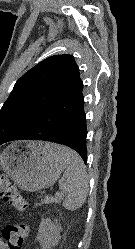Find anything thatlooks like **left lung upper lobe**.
I'll list each match as a JSON object with an SVG mask.
<instances>
[{
  "label": "left lung upper lobe",
  "mask_w": 135,
  "mask_h": 249,
  "mask_svg": "<svg viewBox=\"0 0 135 249\" xmlns=\"http://www.w3.org/2000/svg\"><path fill=\"white\" fill-rule=\"evenodd\" d=\"M82 84L72 55H54L38 63L18 79L0 110V142L16 135L41 109Z\"/></svg>",
  "instance_id": "1"
}]
</instances>
